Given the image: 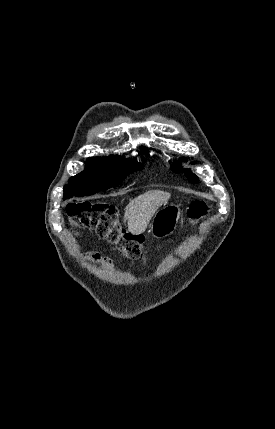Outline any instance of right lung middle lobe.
<instances>
[{
  "mask_svg": "<svg viewBox=\"0 0 275 429\" xmlns=\"http://www.w3.org/2000/svg\"><path fill=\"white\" fill-rule=\"evenodd\" d=\"M134 161H136L134 159ZM142 170L140 163L121 159L109 166L86 165L85 171L70 178L64 187V200L73 196L91 195L119 185L126 176Z\"/></svg>",
  "mask_w": 275,
  "mask_h": 429,
  "instance_id": "dd1d6c3e",
  "label": "right lung middle lobe"
}]
</instances>
